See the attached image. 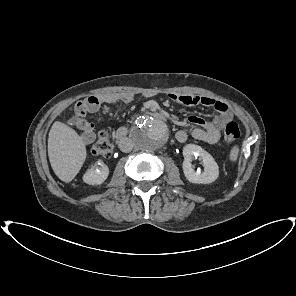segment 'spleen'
Returning a JSON list of instances; mask_svg holds the SVG:
<instances>
[{
	"label": "spleen",
	"mask_w": 296,
	"mask_h": 296,
	"mask_svg": "<svg viewBox=\"0 0 296 296\" xmlns=\"http://www.w3.org/2000/svg\"><path fill=\"white\" fill-rule=\"evenodd\" d=\"M238 153H239V148L238 146H234L231 151H230V160L231 161H236L237 157H238Z\"/></svg>",
	"instance_id": "1"
}]
</instances>
